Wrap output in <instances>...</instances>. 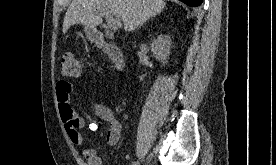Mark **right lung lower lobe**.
Returning a JSON list of instances; mask_svg holds the SVG:
<instances>
[{
    "label": "right lung lower lobe",
    "instance_id": "right-lung-lower-lobe-1",
    "mask_svg": "<svg viewBox=\"0 0 276 165\" xmlns=\"http://www.w3.org/2000/svg\"><path fill=\"white\" fill-rule=\"evenodd\" d=\"M180 1H182L183 3H185L191 7L199 6L203 2V0H180Z\"/></svg>",
    "mask_w": 276,
    "mask_h": 165
}]
</instances>
